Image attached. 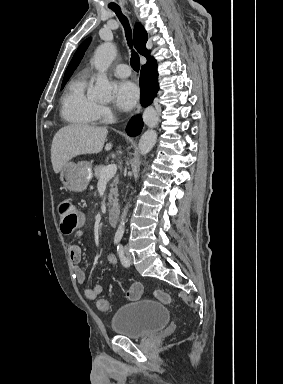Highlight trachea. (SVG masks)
Returning a JSON list of instances; mask_svg holds the SVG:
<instances>
[{"mask_svg": "<svg viewBox=\"0 0 283 384\" xmlns=\"http://www.w3.org/2000/svg\"><path fill=\"white\" fill-rule=\"evenodd\" d=\"M111 10H113L116 13L117 17L119 18L120 22L122 23V25L124 27L127 43H128V46L130 47L131 52H132L130 64H131V67L136 72H138L140 69V60H139L138 54L136 52H134V50L132 49V37H131V29L129 26V22H128L127 18L125 17V15L122 14L120 8H112Z\"/></svg>", "mask_w": 283, "mask_h": 384, "instance_id": "trachea-1", "label": "trachea"}]
</instances>
